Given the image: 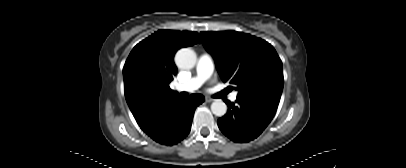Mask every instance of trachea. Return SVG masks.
Wrapping results in <instances>:
<instances>
[{
	"label": "trachea",
	"mask_w": 406,
	"mask_h": 168,
	"mask_svg": "<svg viewBox=\"0 0 406 168\" xmlns=\"http://www.w3.org/2000/svg\"><path fill=\"white\" fill-rule=\"evenodd\" d=\"M225 92L227 93V92H228V90L226 89V90H225Z\"/></svg>",
	"instance_id": "trachea-1"
}]
</instances>
